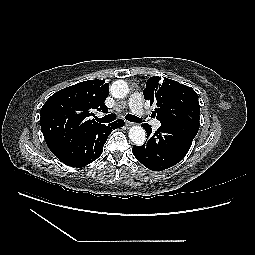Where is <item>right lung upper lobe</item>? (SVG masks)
I'll list each match as a JSON object with an SVG mask.
<instances>
[{
	"label": "right lung upper lobe",
	"mask_w": 255,
	"mask_h": 255,
	"mask_svg": "<svg viewBox=\"0 0 255 255\" xmlns=\"http://www.w3.org/2000/svg\"><path fill=\"white\" fill-rule=\"evenodd\" d=\"M108 91L109 83L105 80H88L60 90L46 101L41 108L40 124L54 155L81 133L102 125L88 117L93 110L107 112L104 101Z\"/></svg>",
	"instance_id": "1"
}]
</instances>
